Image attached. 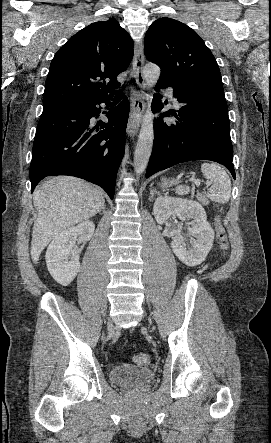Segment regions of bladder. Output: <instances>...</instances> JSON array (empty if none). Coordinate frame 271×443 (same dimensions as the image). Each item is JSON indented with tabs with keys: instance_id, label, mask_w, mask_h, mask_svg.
<instances>
[{
	"instance_id": "bladder-1",
	"label": "bladder",
	"mask_w": 271,
	"mask_h": 443,
	"mask_svg": "<svg viewBox=\"0 0 271 443\" xmlns=\"http://www.w3.org/2000/svg\"><path fill=\"white\" fill-rule=\"evenodd\" d=\"M109 377L116 385L139 387L149 383L154 377V372L147 367L119 364L111 368Z\"/></svg>"
}]
</instances>
